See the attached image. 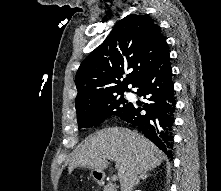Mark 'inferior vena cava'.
<instances>
[{
	"mask_svg": "<svg viewBox=\"0 0 221 191\" xmlns=\"http://www.w3.org/2000/svg\"><path fill=\"white\" fill-rule=\"evenodd\" d=\"M137 176L138 173L130 174L124 184L121 185V191H132Z\"/></svg>",
	"mask_w": 221,
	"mask_h": 191,
	"instance_id": "inferior-vena-cava-1",
	"label": "inferior vena cava"
}]
</instances>
